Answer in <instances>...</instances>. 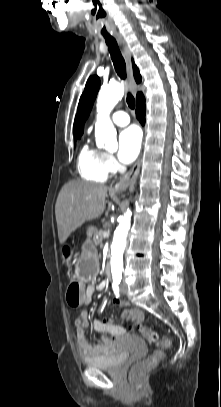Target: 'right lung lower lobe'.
I'll use <instances>...</instances> for the list:
<instances>
[{"instance_id": "right-lung-lower-lobe-1", "label": "right lung lower lobe", "mask_w": 221, "mask_h": 407, "mask_svg": "<svg viewBox=\"0 0 221 407\" xmlns=\"http://www.w3.org/2000/svg\"><path fill=\"white\" fill-rule=\"evenodd\" d=\"M137 102V108H136V116L137 119L141 122L143 125L145 122V98L139 99Z\"/></svg>"}]
</instances>
